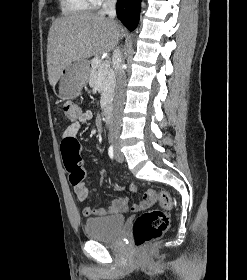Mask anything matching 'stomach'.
<instances>
[{
	"label": "stomach",
	"instance_id": "0dacf381",
	"mask_svg": "<svg viewBox=\"0 0 247 280\" xmlns=\"http://www.w3.org/2000/svg\"><path fill=\"white\" fill-rule=\"evenodd\" d=\"M90 73L88 60H77L63 68L53 86V91L62 100H72L78 97L87 84Z\"/></svg>",
	"mask_w": 247,
	"mask_h": 280
}]
</instances>
